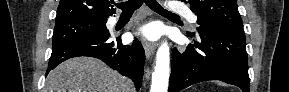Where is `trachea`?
Returning <instances> with one entry per match:
<instances>
[{
  "instance_id": "1",
  "label": "trachea",
  "mask_w": 289,
  "mask_h": 92,
  "mask_svg": "<svg viewBox=\"0 0 289 92\" xmlns=\"http://www.w3.org/2000/svg\"><path fill=\"white\" fill-rule=\"evenodd\" d=\"M143 2L152 10L160 13H164L170 16L179 17L178 15L165 10L156 0H129L126 2L118 3L116 6L123 11V13L134 12L137 10Z\"/></svg>"
}]
</instances>
